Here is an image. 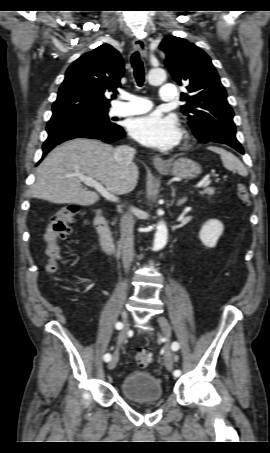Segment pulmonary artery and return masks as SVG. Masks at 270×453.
<instances>
[{
    "mask_svg": "<svg viewBox=\"0 0 270 453\" xmlns=\"http://www.w3.org/2000/svg\"><path fill=\"white\" fill-rule=\"evenodd\" d=\"M159 95L162 100L173 101L176 95V87L173 84L163 85L159 89ZM124 98L128 100V102L115 109V114L117 116L141 114L148 111L152 106L148 100L132 94H125Z\"/></svg>",
    "mask_w": 270,
    "mask_h": 453,
    "instance_id": "e3ab8cb5",
    "label": "pulmonary artery"
}]
</instances>
